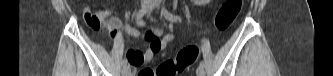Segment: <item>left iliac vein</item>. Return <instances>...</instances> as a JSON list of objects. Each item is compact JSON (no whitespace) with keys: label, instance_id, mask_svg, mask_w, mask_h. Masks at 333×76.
Masks as SVG:
<instances>
[{"label":"left iliac vein","instance_id":"obj_1","mask_svg":"<svg viewBox=\"0 0 333 76\" xmlns=\"http://www.w3.org/2000/svg\"><path fill=\"white\" fill-rule=\"evenodd\" d=\"M197 76H205V70L202 67H198L196 70Z\"/></svg>","mask_w":333,"mask_h":76}]
</instances>
